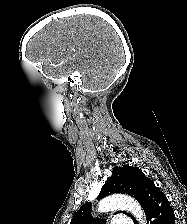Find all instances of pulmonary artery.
Wrapping results in <instances>:
<instances>
[{
	"label": "pulmonary artery",
	"instance_id": "1",
	"mask_svg": "<svg viewBox=\"0 0 187 224\" xmlns=\"http://www.w3.org/2000/svg\"><path fill=\"white\" fill-rule=\"evenodd\" d=\"M111 224H133V221L126 217H116Z\"/></svg>",
	"mask_w": 187,
	"mask_h": 224
}]
</instances>
